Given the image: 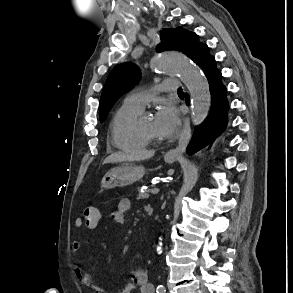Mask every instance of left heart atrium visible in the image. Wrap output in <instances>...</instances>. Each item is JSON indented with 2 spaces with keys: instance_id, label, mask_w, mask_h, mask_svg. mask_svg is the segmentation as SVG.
Wrapping results in <instances>:
<instances>
[{
  "instance_id": "39dd6f15",
  "label": "left heart atrium",
  "mask_w": 293,
  "mask_h": 293,
  "mask_svg": "<svg viewBox=\"0 0 293 293\" xmlns=\"http://www.w3.org/2000/svg\"><path fill=\"white\" fill-rule=\"evenodd\" d=\"M156 127L162 138L172 137L179 127V114L177 109L170 105H163L155 117Z\"/></svg>"
}]
</instances>
